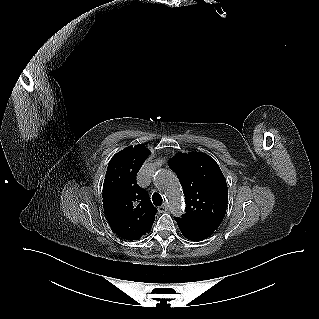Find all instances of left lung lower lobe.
<instances>
[{
	"instance_id": "1",
	"label": "left lung lower lobe",
	"mask_w": 319,
	"mask_h": 319,
	"mask_svg": "<svg viewBox=\"0 0 319 319\" xmlns=\"http://www.w3.org/2000/svg\"><path fill=\"white\" fill-rule=\"evenodd\" d=\"M181 233L189 240L202 241L213 234L215 229L201 227L180 218H175Z\"/></svg>"
}]
</instances>
